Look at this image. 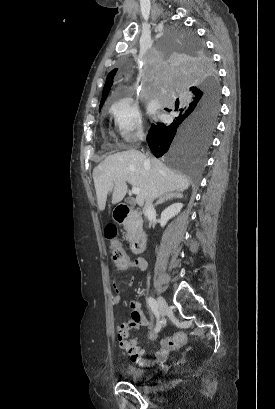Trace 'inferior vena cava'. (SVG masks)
Listing matches in <instances>:
<instances>
[{
	"label": "inferior vena cava",
	"instance_id": "1",
	"mask_svg": "<svg viewBox=\"0 0 275 409\" xmlns=\"http://www.w3.org/2000/svg\"><path fill=\"white\" fill-rule=\"evenodd\" d=\"M140 138L141 140H143V134H140ZM146 162H150V158H146ZM155 209L152 205L151 200H148V202H146V205L143 209V213L145 215V217H148L149 213H154Z\"/></svg>",
	"mask_w": 275,
	"mask_h": 409
}]
</instances>
